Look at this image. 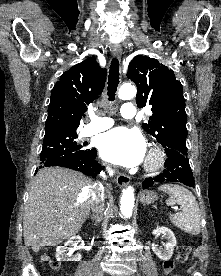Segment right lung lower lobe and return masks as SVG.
I'll return each mask as SVG.
<instances>
[{"instance_id": "right-lung-lower-lobe-1", "label": "right lung lower lobe", "mask_w": 221, "mask_h": 276, "mask_svg": "<svg viewBox=\"0 0 221 276\" xmlns=\"http://www.w3.org/2000/svg\"><path fill=\"white\" fill-rule=\"evenodd\" d=\"M96 149H92L86 156L66 157L43 162V166H61L80 171L85 175L96 177L103 167L95 160ZM42 167V166H41ZM37 172V171H36Z\"/></svg>"}]
</instances>
